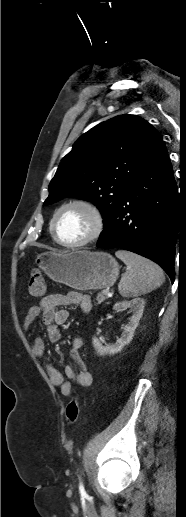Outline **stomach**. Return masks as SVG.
Returning a JSON list of instances; mask_svg holds the SVG:
<instances>
[{
  "label": "stomach",
  "instance_id": "0dacf381",
  "mask_svg": "<svg viewBox=\"0 0 186 517\" xmlns=\"http://www.w3.org/2000/svg\"><path fill=\"white\" fill-rule=\"evenodd\" d=\"M36 262L53 281L79 291L111 287L119 275L117 261L105 252H45L37 256Z\"/></svg>",
  "mask_w": 186,
  "mask_h": 517
}]
</instances>
